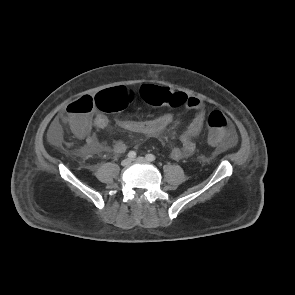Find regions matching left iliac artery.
Masks as SVG:
<instances>
[{"mask_svg": "<svg viewBox=\"0 0 295 295\" xmlns=\"http://www.w3.org/2000/svg\"><path fill=\"white\" fill-rule=\"evenodd\" d=\"M146 159L148 161H154L156 159V157L153 154H147L146 155Z\"/></svg>", "mask_w": 295, "mask_h": 295, "instance_id": "44dca946", "label": "left iliac artery"}]
</instances>
